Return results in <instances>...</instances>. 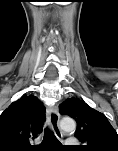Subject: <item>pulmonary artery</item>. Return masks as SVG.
<instances>
[{"label":"pulmonary artery","instance_id":"e3ab8cb5","mask_svg":"<svg viewBox=\"0 0 118 151\" xmlns=\"http://www.w3.org/2000/svg\"><path fill=\"white\" fill-rule=\"evenodd\" d=\"M66 143L68 145H74V144H77V140L74 139V138H69V139L66 140Z\"/></svg>","mask_w":118,"mask_h":151}]
</instances>
